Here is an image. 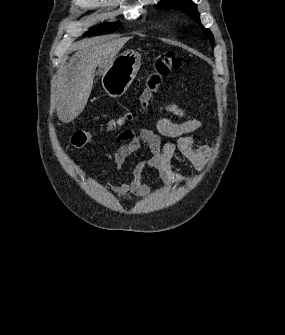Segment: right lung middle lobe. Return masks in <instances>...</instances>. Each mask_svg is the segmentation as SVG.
<instances>
[{"mask_svg": "<svg viewBox=\"0 0 285 335\" xmlns=\"http://www.w3.org/2000/svg\"><path fill=\"white\" fill-rule=\"evenodd\" d=\"M120 26V22L110 23V24H102L90 29L88 32L85 33L87 36L93 35H104L108 33H112L116 31Z\"/></svg>", "mask_w": 285, "mask_h": 335, "instance_id": "1", "label": "right lung middle lobe"}]
</instances>
